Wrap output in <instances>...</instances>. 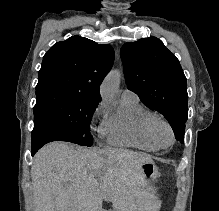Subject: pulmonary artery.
<instances>
[{
    "mask_svg": "<svg viewBox=\"0 0 219 211\" xmlns=\"http://www.w3.org/2000/svg\"><path fill=\"white\" fill-rule=\"evenodd\" d=\"M121 99H138V96L132 90L125 89L121 94Z\"/></svg>",
    "mask_w": 219,
    "mask_h": 211,
    "instance_id": "e3ab8cb5",
    "label": "pulmonary artery"
}]
</instances>
